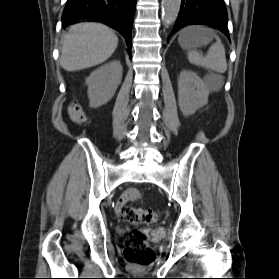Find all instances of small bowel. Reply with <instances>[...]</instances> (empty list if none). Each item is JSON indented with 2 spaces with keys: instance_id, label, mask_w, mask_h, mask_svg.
Instances as JSON below:
<instances>
[{
  "instance_id": "obj_1",
  "label": "small bowel",
  "mask_w": 279,
  "mask_h": 279,
  "mask_svg": "<svg viewBox=\"0 0 279 279\" xmlns=\"http://www.w3.org/2000/svg\"><path fill=\"white\" fill-rule=\"evenodd\" d=\"M141 197L140 192L137 189L131 188L126 190L118 199L115 209L117 213H120L121 208L126 204L128 201H135Z\"/></svg>"
}]
</instances>
